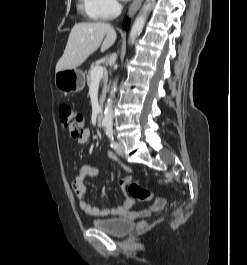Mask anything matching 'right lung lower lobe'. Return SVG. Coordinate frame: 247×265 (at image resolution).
Instances as JSON below:
<instances>
[{
  "mask_svg": "<svg viewBox=\"0 0 247 265\" xmlns=\"http://www.w3.org/2000/svg\"><path fill=\"white\" fill-rule=\"evenodd\" d=\"M129 24H130V19L129 18H125L124 19V28L127 30L129 28Z\"/></svg>",
  "mask_w": 247,
  "mask_h": 265,
  "instance_id": "98d812e1",
  "label": "right lung lower lobe"
}]
</instances>
